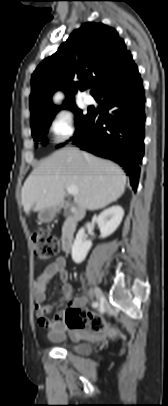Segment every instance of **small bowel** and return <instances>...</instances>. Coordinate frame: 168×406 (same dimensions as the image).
<instances>
[{"label":"small bowel","instance_id":"c3829d8e","mask_svg":"<svg viewBox=\"0 0 168 406\" xmlns=\"http://www.w3.org/2000/svg\"><path fill=\"white\" fill-rule=\"evenodd\" d=\"M55 275L59 276L62 282V301L70 305L71 308L80 310L88 301L86 296L73 297L72 286L69 283V274L66 270V260L58 257L49 264L36 279L34 284V300L36 315L39 324L48 331V336L53 341H62L68 333L73 338L95 336L98 340L104 338L103 333H95L84 327H73L66 323L64 310H56L52 319H48L45 314L51 311V307L43 308L50 283Z\"/></svg>","mask_w":168,"mask_h":406}]
</instances>
